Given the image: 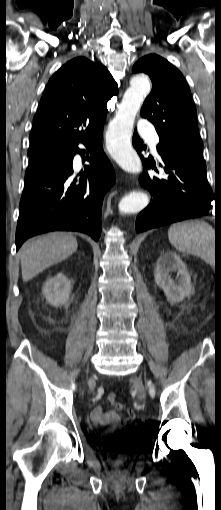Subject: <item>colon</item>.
<instances>
[{"mask_svg": "<svg viewBox=\"0 0 221 510\" xmlns=\"http://www.w3.org/2000/svg\"><path fill=\"white\" fill-rule=\"evenodd\" d=\"M108 400L113 403L117 408H119L120 403L116 401V396L114 393H110L108 395ZM134 413L128 412V415L125 419V423H130L134 420ZM123 443L120 440H116L112 445V454H113V467L114 469L119 472L121 471L122 465L120 461V454L122 452Z\"/></svg>", "mask_w": 221, "mask_h": 510, "instance_id": "colon-1", "label": "colon"}]
</instances>
